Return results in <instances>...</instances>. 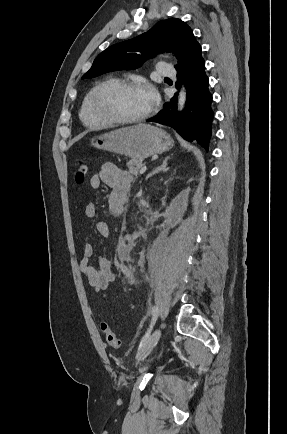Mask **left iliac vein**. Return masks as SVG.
<instances>
[{"label":"left iliac vein","mask_w":287,"mask_h":434,"mask_svg":"<svg viewBox=\"0 0 287 434\" xmlns=\"http://www.w3.org/2000/svg\"><path fill=\"white\" fill-rule=\"evenodd\" d=\"M161 334H162L161 329H156L153 332V334L145 341L143 346L138 351L137 353L138 359H144L151 352V350L155 347V345L159 341ZM145 368H146L145 366H142L140 371H144Z\"/></svg>","instance_id":"1"}]
</instances>
